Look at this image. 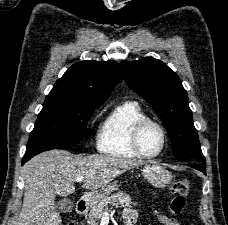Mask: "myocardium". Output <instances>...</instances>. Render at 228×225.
I'll use <instances>...</instances> for the list:
<instances>
[{
  "instance_id": "1",
  "label": "myocardium",
  "mask_w": 228,
  "mask_h": 225,
  "mask_svg": "<svg viewBox=\"0 0 228 225\" xmlns=\"http://www.w3.org/2000/svg\"><path fill=\"white\" fill-rule=\"evenodd\" d=\"M150 125L157 127L160 130L161 135H162L161 149L155 154L146 153L144 151V149L142 147V143H141L142 134H143L144 130ZM167 141H168V135H167V131H166L165 127L163 126V124L161 122H159L153 118H148V117L144 118V119L140 120L139 122H137L136 125L134 126V129L132 132V145H133L134 150L143 158L153 159V158H157V157L161 156L166 149Z\"/></svg>"
}]
</instances>
